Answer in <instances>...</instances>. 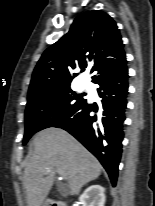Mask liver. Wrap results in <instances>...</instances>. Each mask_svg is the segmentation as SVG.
I'll return each instance as SVG.
<instances>
[{"mask_svg": "<svg viewBox=\"0 0 155 206\" xmlns=\"http://www.w3.org/2000/svg\"><path fill=\"white\" fill-rule=\"evenodd\" d=\"M34 154L24 171V188L28 206H41L62 172L69 194L76 195L88 182L101 174L99 161L73 136L62 129L48 128L33 139ZM47 169L50 171L47 172Z\"/></svg>", "mask_w": 155, "mask_h": 206, "instance_id": "liver-1", "label": "liver"}]
</instances>
